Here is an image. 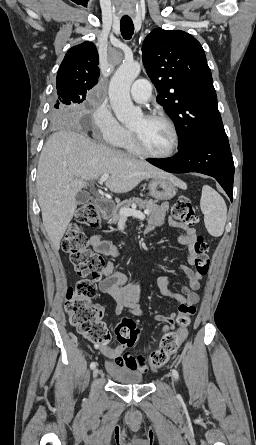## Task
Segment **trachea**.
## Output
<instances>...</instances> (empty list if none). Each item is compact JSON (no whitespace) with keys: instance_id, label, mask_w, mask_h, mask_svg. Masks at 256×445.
I'll use <instances>...</instances> for the list:
<instances>
[{"instance_id":"3493384b","label":"trachea","mask_w":256,"mask_h":445,"mask_svg":"<svg viewBox=\"0 0 256 445\" xmlns=\"http://www.w3.org/2000/svg\"><path fill=\"white\" fill-rule=\"evenodd\" d=\"M121 34L124 39H131L134 33V25L131 19H122L121 20Z\"/></svg>"}]
</instances>
